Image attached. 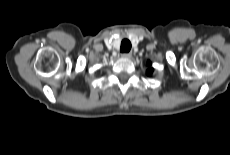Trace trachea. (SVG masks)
Returning a JSON list of instances; mask_svg holds the SVG:
<instances>
[{
    "label": "trachea",
    "instance_id": "obj_1",
    "mask_svg": "<svg viewBox=\"0 0 230 155\" xmlns=\"http://www.w3.org/2000/svg\"><path fill=\"white\" fill-rule=\"evenodd\" d=\"M131 50V42L128 39H123L121 42L120 51L122 53H127Z\"/></svg>",
    "mask_w": 230,
    "mask_h": 155
}]
</instances>
